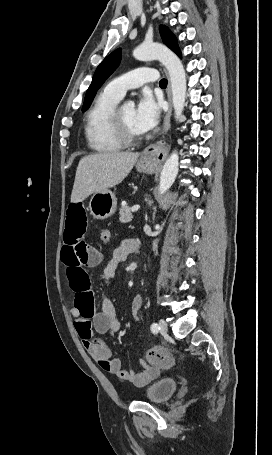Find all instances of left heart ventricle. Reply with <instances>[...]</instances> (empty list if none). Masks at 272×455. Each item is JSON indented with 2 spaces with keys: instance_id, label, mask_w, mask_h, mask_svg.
I'll use <instances>...</instances> for the list:
<instances>
[{
  "instance_id": "1",
  "label": "left heart ventricle",
  "mask_w": 272,
  "mask_h": 455,
  "mask_svg": "<svg viewBox=\"0 0 272 455\" xmlns=\"http://www.w3.org/2000/svg\"><path fill=\"white\" fill-rule=\"evenodd\" d=\"M121 114H122V118H123V121H124L127 129L132 134L139 135L140 133L137 131V129L135 128V124H134L135 109L130 106H124L121 109Z\"/></svg>"
}]
</instances>
